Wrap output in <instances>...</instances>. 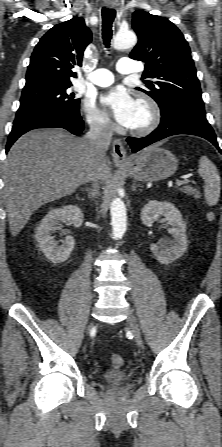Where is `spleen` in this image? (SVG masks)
<instances>
[{
    "instance_id": "spleen-1",
    "label": "spleen",
    "mask_w": 222,
    "mask_h": 447,
    "mask_svg": "<svg viewBox=\"0 0 222 447\" xmlns=\"http://www.w3.org/2000/svg\"><path fill=\"white\" fill-rule=\"evenodd\" d=\"M199 175L204 179V197L209 206L215 205L220 197V175L216 166L206 157L199 160Z\"/></svg>"
}]
</instances>
